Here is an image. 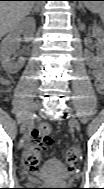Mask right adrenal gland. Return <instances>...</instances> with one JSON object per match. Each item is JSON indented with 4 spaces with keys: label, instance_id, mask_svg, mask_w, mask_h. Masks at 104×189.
Instances as JSON below:
<instances>
[{
    "label": "right adrenal gland",
    "instance_id": "right-adrenal-gland-1",
    "mask_svg": "<svg viewBox=\"0 0 104 189\" xmlns=\"http://www.w3.org/2000/svg\"><path fill=\"white\" fill-rule=\"evenodd\" d=\"M31 13H32V14H34V13H39V8H36V7H35V8L31 11Z\"/></svg>",
    "mask_w": 104,
    "mask_h": 189
}]
</instances>
